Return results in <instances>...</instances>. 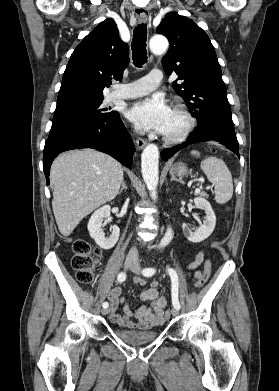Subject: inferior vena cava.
Here are the masks:
<instances>
[{"mask_svg": "<svg viewBox=\"0 0 279 391\" xmlns=\"http://www.w3.org/2000/svg\"><path fill=\"white\" fill-rule=\"evenodd\" d=\"M137 254V249L135 247L131 248L129 251V255H136Z\"/></svg>", "mask_w": 279, "mask_h": 391, "instance_id": "602c4592", "label": "inferior vena cava"}]
</instances>
